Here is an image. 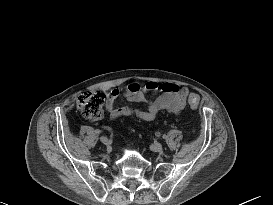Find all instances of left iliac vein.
<instances>
[{
	"mask_svg": "<svg viewBox=\"0 0 273 205\" xmlns=\"http://www.w3.org/2000/svg\"><path fill=\"white\" fill-rule=\"evenodd\" d=\"M151 149L155 152H161L163 149V145L161 143H154L151 145Z\"/></svg>",
	"mask_w": 273,
	"mask_h": 205,
	"instance_id": "left-iliac-vein-1",
	"label": "left iliac vein"
}]
</instances>
